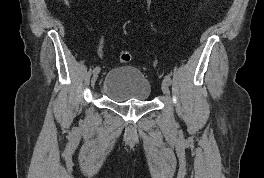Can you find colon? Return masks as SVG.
<instances>
[{"instance_id": "colon-1", "label": "colon", "mask_w": 264, "mask_h": 178, "mask_svg": "<svg viewBox=\"0 0 264 178\" xmlns=\"http://www.w3.org/2000/svg\"><path fill=\"white\" fill-rule=\"evenodd\" d=\"M132 60V55L128 51H123L119 54V61L121 63H129Z\"/></svg>"}]
</instances>
